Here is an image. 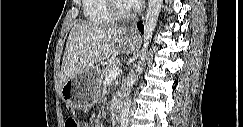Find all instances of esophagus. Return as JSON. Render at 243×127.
Returning a JSON list of instances; mask_svg holds the SVG:
<instances>
[{"mask_svg":"<svg viewBox=\"0 0 243 127\" xmlns=\"http://www.w3.org/2000/svg\"><path fill=\"white\" fill-rule=\"evenodd\" d=\"M137 33H138L137 24H134L133 26L130 27L129 34H137Z\"/></svg>","mask_w":243,"mask_h":127,"instance_id":"obj_1","label":"esophagus"}]
</instances>
